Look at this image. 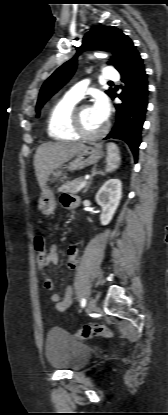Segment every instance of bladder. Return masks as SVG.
<instances>
[{"label": "bladder", "mask_w": 168, "mask_h": 415, "mask_svg": "<svg viewBox=\"0 0 168 415\" xmlns=\"http://www.w3.org/2000/svg\"><path fill=\"white\" fill-rule=\"evenodd\" d=\"M92 350L62 328H52L45 340V357L56 369L77 371L90 360Z\"/></svg>", "instance_id": "bladder-1"}]
</instances>
